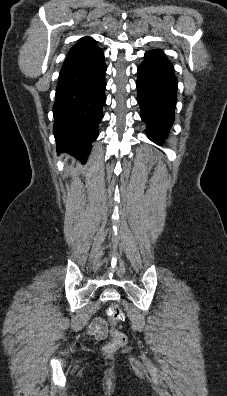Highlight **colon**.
Returning <instances> with one entry per match:
<instances>
[{
  "label": "colon",
  "instance_id": "colon-1",
  "mask_svg": "<svg viewBox=\"0 0 227 396\" xmlns=\"http://www.w3.org/2000/svg\"><path fill=\"white\" fill-rule=\"evenodd\" d=\"M107 315L113 325V328L111 331V340L105 346V350L107 352H112L123 347L127 343V337L123 332L116 328L117 323L122 317V309L120 305L117 303L112 304L107 310Z\"/></svg>",
  "mask_w": 227,
  "mask_h": 396
}]
</instances>
